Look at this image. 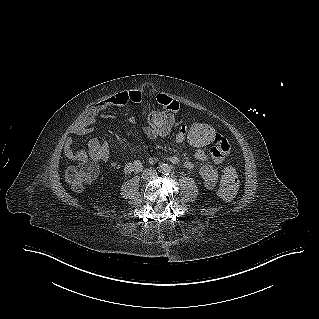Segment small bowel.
Wrapping results in <instances>:
<instances>
[{
	"label": "small bowel",
	"instance_id": "obj_1",
	"mask_svg": "<svg viewBox=\"0 0 319 319\" xmlns=\"http://www.w3.org/2000/svg\"><path fill=\"white\" fill-rule=\"evenodd\" d=\"M142 101L143 93L139 90H130L111 95L110 97L103 99L99 103L86 110L80 116V118L71 126L70 131L74 135H88L92 131V127L97 116L105 110L120 108L128 104H138ZM155 107L164 108L166 113H177L178 108H181V99H171L165 94H156ZM187 133V127L184 126L180 128L175 137L176 142L182 143L184 141H187L185 138V134ZM210 141L214 144L215 150L200 151L194 147V156L198 161L204 163V165L199 170V174L203 180L205 187L208 189H214L219 181V172L211 164V162L215 164L222 163L224 161V158L230 154V151L223 137L213 135L211 136ZM74 145L75 142L73 141V139L71 137H68L65 141V153L67 157L76 159L75 153L72 152V148ZM87 149L89 154L96 156L98 160L107 161L109 159L110 149L108 144L102 142L98 138L90 139L87 143ZM161 160L162 158L160 157L152 156L149 158L148 161L150 164H156ZM166 160L174 164L181 163V160L177 157H167ZM183 166L188 170H192L194 168V164L191 161L183 162ZM142 167L143 164L141 161L133 160L125 166L124 171L126 173H131L141 170Z\"/></svg>",
	"mask_w": 319,
	"mask_h": 319
}]
</instances>
